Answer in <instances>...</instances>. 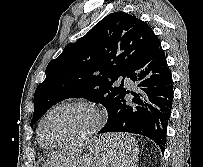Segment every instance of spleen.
I'll list each match as a JSON object with an SVG mask.
<instances>
[{
	"instance_id": "1",
	"label": "spleen",
	"mask_w": 203,
	"mask_h": 167,
	"mask_svg": "<svg viewBox=\"0 0 203 167\" xmlns=\"http://www.w3.org/2000/svg\"><path fill=\"white\" fill-rule=\"evenodd\" d=\"M116 149H108L112 161V167H136L138 161V148L132 141L127 146L113 144ZM130 151L133 154L129 155Z\"/></svg>"
}]
</instances>
